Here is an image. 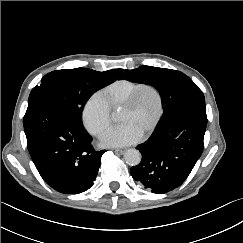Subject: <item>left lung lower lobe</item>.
I'll return each instance as SVG.
<instances>
[{
    "label": "left lung lower lobe",
    "mask_w": 243,
    "mask_h": 243,
    "mask_svg": "<svg viewBox=\"0 0 243 243\" xmlns=\"http://www.w3.org/2000/svg\"><path fill=\"white\" fill-rule=\"evenodd\" d=\"M206 126L205 100L180 108L137 146L142 160L130 169L133 179L158 194L179 187L202 154Z\"/></svg>",
    "instance_id": "0a47b994"
}]
</instances>
